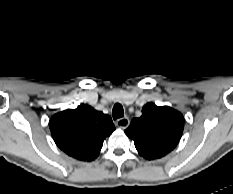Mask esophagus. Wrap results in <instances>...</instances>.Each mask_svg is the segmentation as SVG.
<instances>
[{
    "label": "esophagus",
    "instance_id": "esophagus-1",
    "mask_svg": "<svg viewBox=\"0 0 233 194\" xmlns=\"http://www.w3.org/2000/svg\"><path fill=\"white\" fill-rule=\"evenodd\" d=\"M129 119L128 117H123V118H119L117 121H116V125L122 129H125L129 126Z\"/></svg>",
    "mask_w": 233,
    "mask_h": 194
}]
</instances>
